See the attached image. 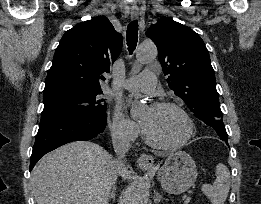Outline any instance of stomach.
<instances>
[{"label":"stomach","instance_id":"0dacf381","mask_svg":"<svg viewBox=\"0 0 261 204\" xmlns=\"http://www.w3.org/2000/svg\"><path fill=\"white\" fill-rule=\"evenodd\" d=\"M157 178L167 192L181 194L193 186L197 179L195 162L184 151L170 153L158 171Z\"/></svg>","mask_w":261,"mask_h":204}]
</instances>
